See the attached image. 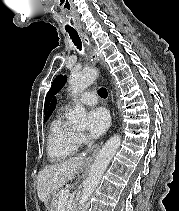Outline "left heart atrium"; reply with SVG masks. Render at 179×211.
<instances>
[{
	"mask_svg": "<svg viewBox=\"0 0 179 211\" xmlns=\"http://www.w3.org/2000/svg\"><path fill=\"white\" fill-rule=\"evenodd\" d=\"M88 133L92 138H99L109 127L110 117L104 108H95L87 115Z\"/></svg>",
	"mask_w": 179,
	"mask_h": 211,
	"instance_id": "obj_1",
	"label": "left heart atrium"
}]
</instances>
